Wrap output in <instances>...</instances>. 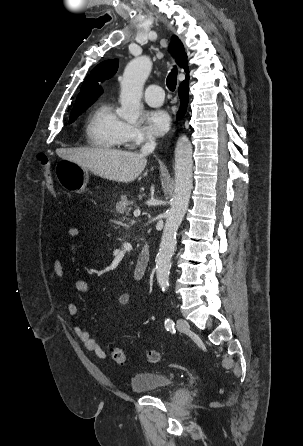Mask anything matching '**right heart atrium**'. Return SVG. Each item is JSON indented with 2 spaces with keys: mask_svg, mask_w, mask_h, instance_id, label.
Returning a JSON list of instances; mask_svg holds the SVG:
<instances>
[{
  "mask_svg": "<svg viewBox=\"0 0 303 446\" xmlns=\"http://www.w3.org/2000/svg\"><path fill=\"white\" fill-rule=\"evenodd\" d=\"M122 139L129 147H137L154 140L153 136L142 127L125 122L122 127Z\"/></svg>",
  "mask_w": 303,
  "mask_h": 446,
  "instance_id": "obj_1",
  "label": "right heart atrium"
}]
</instances>
